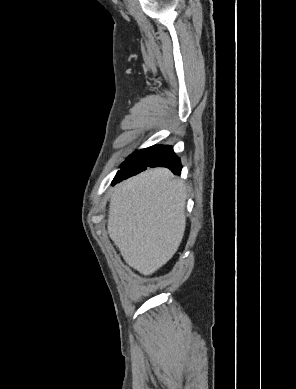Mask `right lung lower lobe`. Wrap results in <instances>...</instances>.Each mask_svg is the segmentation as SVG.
<instances>
[{
    "mask_svg": "<svg viewBox=\"0 0 296 389\" xmlns=\"http://www.w3.org/2000/svg\"><path fill=\"white\" fill-rule=\"evenodd\" d=\"M147 167H167L174 174H180L182 165L180 159L175 155L173 148L171 146H157L147 157V164L140 168H122L112 181V185L134 176Z\"/></svg>",
    "mask_w": 296,
    "mask_h": 389,
    "instance_id": "98d812e1",
    "label": "right lung lower lobe"
}]
</instances>
